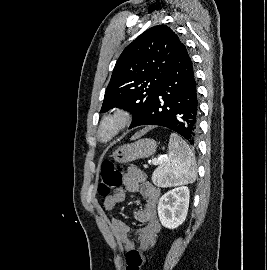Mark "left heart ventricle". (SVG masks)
I'll return each mask as SVG.
<instances>
[{
	"label": "left heart ventricle",
	"mask_w": 267,
	"mask_h": 270,
	"mask_svg": "<svg viewBox=\"0 0 267 270\" xmlns=\"http://www.w3.org/2000/svg\"><path fill=\"white\" fill-rule=\"evenodd\" d=\"M108 133H109V129L107 128V129L104 130V134L106 135Z\"/></svg>",
	"instance_id": "b2bd125f"
}]
</instances>
